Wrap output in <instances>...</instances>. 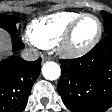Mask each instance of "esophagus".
<instances>
[{"label":"esophagus","instance_id":"1","mask_svg":"<svg viewBox=\"0 0 112 112\" xmlns=\"http://www.w3.org/2000/svg\"><path fill=\"white\" fill-rule=\"evenodd\" d=\"M51 58L50 57H47V56H43L42 57V61L44 62V61H47V60H50Z\"/></svg>","mask_w":112,"mask_h":112}]
</instances>
